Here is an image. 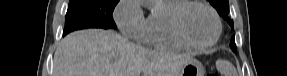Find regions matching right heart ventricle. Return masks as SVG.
<instances>
[{
	"mask_svg": "<svg viewBox=\"0 0 287 76\" xmlns=\"http://www.w3.org/2000/svg\"><path fill=\"white\" fill-rule=\"evenodd\" d=\"M184 0H162L146 19L141 42L151 48L179 51L186 47L176 38L171 28L173 11Z\"/></svg>",
	"mask_w": 287,
	"mask_h": 76,
	"instance_id": "obj_1",
	"label": "right heart ventricle"
}]
</instances>
